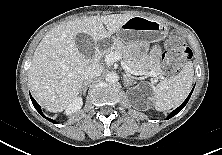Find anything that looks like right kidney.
Listing matches in <instances>:
<instances>
[{"label": "right kidney", "instance_id": "1", "mask_svg": "<svg viewBox=\"0 0 222 155\" xmlns=\"http://www.w3.org/2000/svg\"><path fill=\"white\" fill-rule=\"evenodd\" d=\"M83 101L81 97H77L66 109L67 114H72L82 107Z\"/></svg>", "mask_w": 222, "mask_h": 155}]
</instances>
